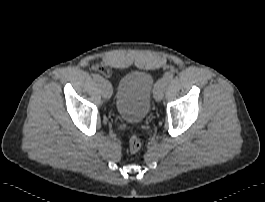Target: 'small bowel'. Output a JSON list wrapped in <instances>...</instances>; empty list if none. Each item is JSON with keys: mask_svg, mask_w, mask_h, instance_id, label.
<instances>
[{"mask_svg": "<svg viewBox=\"0 0 265 202\" xmlns=\"http://www.w3.org/2000/svg\"><path fill=\"white\" fill-rule=\"evenodd\" d=\"M106 74H109L111 71L109 69H105Z\"/></svg>", "mask_w": 265, "mask_h": 202, "instance_id": "1", "label": "small bowel"}]
</instances>
